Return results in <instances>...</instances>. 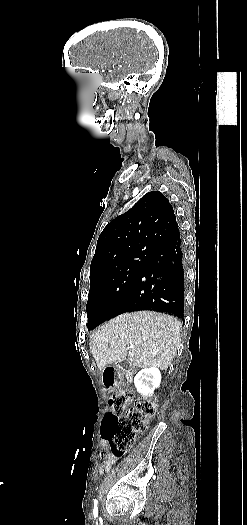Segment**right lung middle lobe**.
<instances>
[{
    "label": "right lung middle lobe",
    "mask_w": 247,
    "mask_h": 525,
    "mask_svg": "<svg viewBox=\"0 0 247 525\" xmlns=\"http://www.w3.org/2000/svg\"><path fill=\"white\" fill-rule=\"evenodd\" d=\"M144 264L145 258H140L123 268L90 273L86 305L89 330L115 316L116 309L139 277Z\"/></svg>",
    "instance_id": "right-lung-middle-lobe-1"
}]
</instances>
